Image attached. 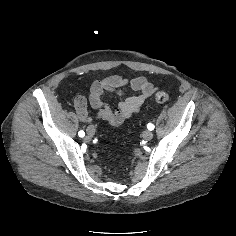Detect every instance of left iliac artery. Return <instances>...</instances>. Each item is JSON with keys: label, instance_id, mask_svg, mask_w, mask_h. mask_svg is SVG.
<instances>
[{"label": "left iliac artery", "instance_id": "left-iliac-artery-1", "mask_svg": "<svg viewBox=\"0 0 236 236\" xmlns=\"http://www.w3.org/2000/svg\"><path fill=\"white\" fill-rule=\"evenodd\" d=\"M147 128L151 131V130L154 129V125H153L152 123H149V124L147 125Z\"/></svg>", "mask_w": 236, "mask_h": 236}]
</instances>
